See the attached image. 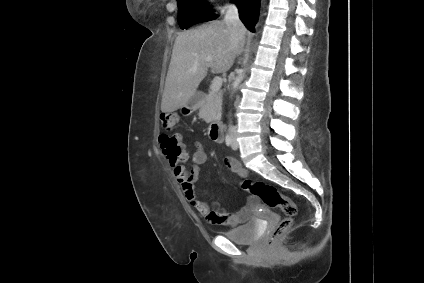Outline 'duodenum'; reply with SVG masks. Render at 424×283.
Returning <instances> with one entry per match:
<instances>
[{"label": "duodenum", "mask_w": 424, "mask_h": 283, "mask_svg": "<svg viewBox=\"0 0 424 283\" xmlns=\"http://www.w3.org/2000/svg\"><path fill=\"white\" fill-rule=\"evenodd\" d=\"M209 136L216 142H221L223 139V123L219 120H214L209 128Z\"/></svg>", "instance_id": "obj_1"}]
</instances>
